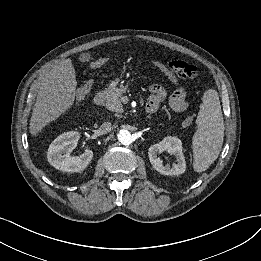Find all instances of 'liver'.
<instances>
[{"instance_id":"obj_1","label":"liver","mask_w":261,"mask_h":261,"mask_svg":"<svg viewBox=\"0 0 261 261\" xmlns=\"http://www.w3.org/2000/svg\"><path fill=\"white\" fill-rule=\"evenodd\" d=\"M76 74L71 59L59 62L45 76L38 91L30 119L29 131L35 136L43 127L56 120L74 103Z\"/></svg>"}]
</instances>
